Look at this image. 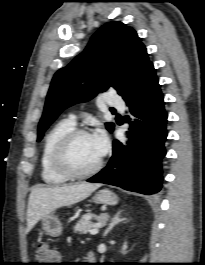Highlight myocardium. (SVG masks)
Returning a JSON list of instances; mask_svg holds the SVG:
<instances>
[{
    "instance_id": "myocardium-1",
    "label": "myocardium",
    "mask_w": 205,
    "mask_h": 265,
    "mask_svg": "<svg viewBox=\"0 0 205 265\" xmlns=\"http://www.w3.org/2000/svg\"><path fill=\"white\" fill-rule=\"evenodd\" d=\"M81 136H91V134L87 130L79 128L69 131L58 142L52 155L54 169L67 179L81 180L89 178L98 173L103 165V158L101 156L96 165L85 172H77L69 166L67 160L69 149L72 143Z\"/></svg>"
}]
</instances>
